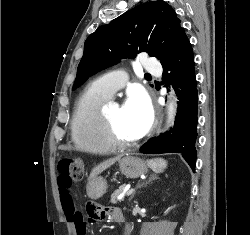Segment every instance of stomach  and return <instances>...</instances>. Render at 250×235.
Segmentation results:
<instances>
[{
  "label": "stomach",
  "mask_w": 250,
  "mask_h": 235,
  "mask_svg": "<svg viewBox=\"0 0 250 235\" xmlns=\"http://www.w3.org/2000/svg\"><path fill=\"white\" fill-rule=\"evenodd\" d=\"M147 165L137 157L125 156L119 160V169L127 178H137L147 172ZM107 190V182L102 177L93 178L87 186V195L91 199L101 198Z\"/></svg>",
  "instance_id": "1"
}]
</instances>
